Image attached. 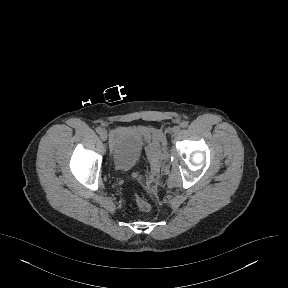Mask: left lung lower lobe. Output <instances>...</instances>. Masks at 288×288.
Listing matches in <instances>:
<instances>
[{
    "label": "left lung lower lobe",
    "instance_id": "obj_1",
    "mask_svg": "<svg viewBox=\"0 0 288 288\" xmlns=\"http://www.w3.org/2000/svg\"><path fill=\"white\" fill-rule=\"evenodd\" d=\"M266 207V203L262 198H259L253 208L250 210L249 214H253L254 212H258V218L253 222L255 225L260 226L263 221L264 209Z\"/></svg>",
    "mask_w": 288,
    "mask_h": 288
}]
</instances>
